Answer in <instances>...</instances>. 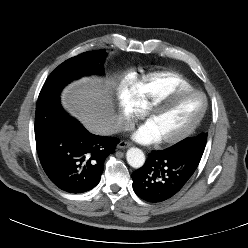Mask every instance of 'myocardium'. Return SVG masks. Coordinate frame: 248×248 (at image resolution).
Here are the masks:
<instances>
[{"instance_id":"f54148a6","label":"myocardium","mask_w":248,"mask_h":248,"mask_svg":"<svg viewBox=\"0 0 248 248\" xmlns=\"http://www.w3.org/2000/svg\"><path fill=\"white\" fill-rule=\"evenodd\" d=\"M187 95H200L203 98L204 105H203L201 113L187 128H185L180 133L174 136L160 139L159 142L161 144L170 145V144L179 143L183 141L184 139H186L187 137H189L198 128V126L202 122L208 109L207 96L202 91H199L196 89L174 90L162 97H159L147 108L146 120L148 121L154 114H156L158 111H161L169 103L173 102L174 100L178 98H181Z\"/></svg>"}]
</instances>
